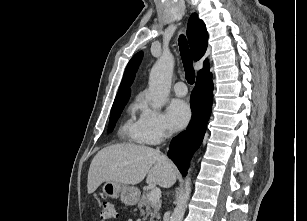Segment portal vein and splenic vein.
<instances>
[{
  "instance_id": "portal-vein-and-splenic-vein-1",
  "label": "portal vein and splenic vein",
  "mask_w": 307,
  "mask_h": 221,
  "mask_svg": "<svg viewBox=\"0 0 307 221\" xmlns=\"http://www.w3.org/2000/svg\"><path fill=\"white\" fill-rule=\"evenodd\" d=\"M161 197V190L158 187L153 188L149 193V200L151 202H158Z\"/></svg>"
}]
</instances>
